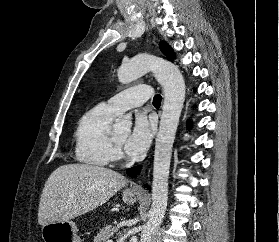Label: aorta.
Wrapping results in <instances>:
<instances>
[{
  "mask_svg": "<svg viewBox=\"0 0 279 242\" xmlns=\"http://www.w3.org/2000/svg\"><path fill=\"white\" fill-rule=\"evenodd\" d=\"M150 71L155 74L156 79L164 89V103L155 143L152 205L148 212V221L142 228L140 242H150L165 215L172 147L186 90L184 78L176 65L149 54L137 55L129 62L122 64L117 75L120 83L127 84ZM131 125V118L124 115L116 119L113 130L115 132H128Z\"/></svg>",
  "mask_w": 279,
  "mask_h": 242,
  "instance_id": "762f6f07",
  "label": "aorta"
}]
</instances>
